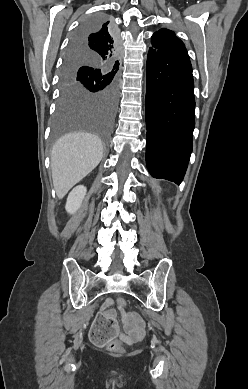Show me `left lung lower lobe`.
<instances>
[{
	"label": "left lung lower lobe",
	"mask_w": 248,
	"mask_h": 389,
	"mask_svg": "<svg viewBox=\"0 0 248 389\" xmlns=\"http://www.w3.org/2000/svg\"><path fill=\"white\" fill-rule=\"evenodd\" d=\"M194 82L186 48L151 47L147 57L146 164L150 174L181 183L192 152Z\"/></svg>",
	"instance_id": "1"
}]
</instances>
